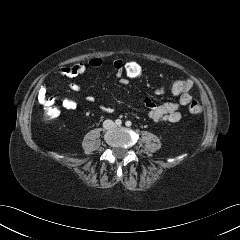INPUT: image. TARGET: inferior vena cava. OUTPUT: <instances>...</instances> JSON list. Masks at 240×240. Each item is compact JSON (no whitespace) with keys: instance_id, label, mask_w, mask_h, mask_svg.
I'll list each match as a JSON object with an SVG mask.
<instances>
[{"instance_id":"inferior-vena-cava-1","label":"inferior vena cava","mask_w":240,"mask_h":240,"mask_svg":"<svg viewBox=\"0 0 240 240\" xmlns=\"http://www.w3.org/2000/svg\"><path fill=\"white\" fill-rule=\"evenodd\" d=\"M115 126V124H114V122L112 121V120H106V121H104V123H103V127L105 128V129H111V128H113Z\"/></svg>"}]
</instances>
